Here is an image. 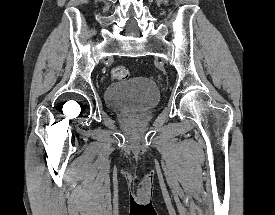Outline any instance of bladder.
<instances>
[{
    "instance_id": "bladder-1",
    "label": "bladder",
    "mask_w": 275,
    "mask_h": 215,
    "mask_svg": "<svg viewBox=\"0 0 275 215\" xmlns=\"http://www.w3.org/2000/svg\"><path fill=\"white\" fill-rule=\"evenodd\" d=\"M159 89L156 84L143 77L111 82L104 92L106 105L114 111H141L159 103Z\"/></svg>"
}]
</instances>
